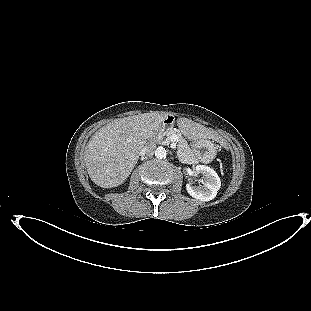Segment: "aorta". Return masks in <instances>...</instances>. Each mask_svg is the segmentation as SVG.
Wrapping results in <instances>:
<instances>
[{
    "label": "aorta",
    "instance_id": "1",
    "mask_svg": "<svg viewBox=\"0 0 311 311\" xmlns=\"http://www.w3.org/2000/svg\"><path fill=\"white\" fill-rule=\"evenodd\" d=\"M166 155H167V151L163 147H158L155 150V157L158 159H164V158H166Z\"/></svg>",
    "mask_w": 311,
    "mask_h": 311
}]
</instances>
